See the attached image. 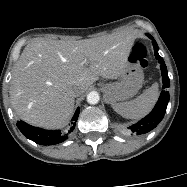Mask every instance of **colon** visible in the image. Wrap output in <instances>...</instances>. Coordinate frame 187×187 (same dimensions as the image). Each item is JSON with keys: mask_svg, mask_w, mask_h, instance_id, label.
Instances as JSON below:
<instances>
[{"mask_svg": "<svg viewBox=\"0 0 187 187\" xmlns=\"http://www.w3.org/2000/svg\"><path fill=\"white\" fill-rule=\"evenodd\" d=\"M130 61L139 64L144 69L148 67L147 50L144 44L140 42L134 44L130 54Z\"/></svg>", "mask_w": 187, "mask_h": 187, "instance_id": "obj_1", "label": "colon"}]
</instances>
